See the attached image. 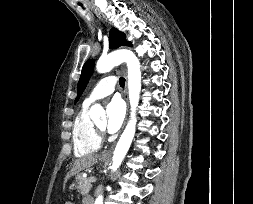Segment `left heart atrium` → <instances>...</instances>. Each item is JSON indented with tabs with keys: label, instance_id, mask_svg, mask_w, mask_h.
<instances>
[{
	"label": "left heart atrium",
	"instance_id": "obj_1",
	"mask_svg": "<svg viewBox=\"0 0 253 204\" xmlns=\"http://www.w3.org/2000/svg\"><path fill=\"white\" fill-rule=\"evenodd\" d=\"M107 121L105 128L109 133L117 132L125 117V108L120 99L114 98L107 105Z\"/></svg>",
	"mask_w": 253,
	"mask_h": 204
}]
</instances>
